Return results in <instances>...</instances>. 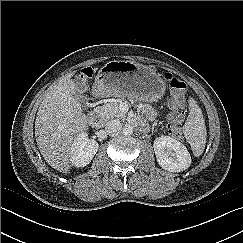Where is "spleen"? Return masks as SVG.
<instances>
[{
	"mask_svg": "<svg viewBox=\"0 0 243 243\" xmlns=\"http://www.w3.org/2000/svg\"><path fill=\"white\" fill-rule=\"evenodd\" d=\"M190 112L183 126L185 138L196 156H200L205 148L207 131L202 110L193 98L189 99Z\"/></svg>",
	"mask_w": 243,
	"mask_h": 243,
	"instance_id": "1",
	"label": "spleen"
}]
</instances>
